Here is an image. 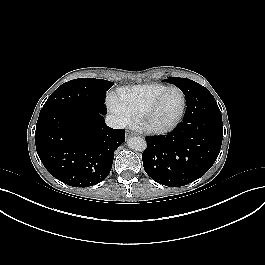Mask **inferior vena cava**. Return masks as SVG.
Listing matches in <instances>:
<instances>
[{"label": "inferior vena cava", "instance_id": "obj_1", "mask_svg": "<svg viewBox=\"0 0 265 265\" xmlns=\"http://www.w3.org/2000/svg\"><path fill=\"white\" fill-rule=\"evenodd\" d=\"M105 122L109 127L114 129H120L126 126L125 120L115 115H107Z\"/></svg>", "mask_w": 265, "mask_h": 265}]
</instances>
